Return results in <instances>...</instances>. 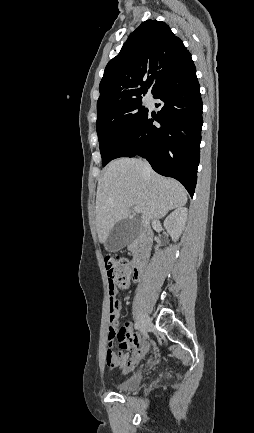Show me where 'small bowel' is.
Instances as JSON below:
<instances>
[{"label": "small bowel", "instance_id": "small-bowel-1", "mask_svg": "<svg viewBox=\"0 0 254 433\" xmlns=\"http://www.w3.org/2000/svg\"><path fill=\"white\" fill-rule=\"evenodd\" d=\"M128 287L120 289L126 290L128 289ZM116 293L117 290L114 289L112 291V297L115 300H117ZM112 310L113 309L111 308L110 312ZM116 312L118 315L121 312L119 302L116 306ZM109 334L110 336H113L112 326H110ZM117 336L119 339V346L121 350L118 353H115L114 351H112V347L110 345L106 353V363L110 367L119 368L120 370H122L123 373H128L137 366L141 357L147 352L149 346L147 344L141 343L139 337L131 331V326L129 323H125Z\"/></svg>", "mask_w": 254, "mask_h": 433}]
</instances>
